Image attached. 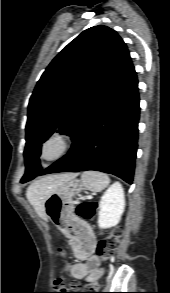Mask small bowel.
<instances>
[{
    "mask_svg": "<svg viewBox=\"0 0 170 293\" xmlns=\"http://www.w3.org/2000/svg\"><path fill=\"white\" fill-rule=\"evenodd\" d=\"M69 241L74 253L82 259V261L77 262L71 267L70 275L87 282H94L100 279L104 270L101 267L99 257L95 254H91L90 250L82 245L79 239L71 237Z\"/></svg>",
    "mask_w": 170,
    "mask_h": 293,
    "instance_id": "obj_1",
    "label": "small bowel"
}]
</instances>
